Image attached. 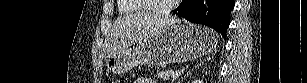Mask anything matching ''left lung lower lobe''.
<instances>
[{
	"instance_id": "obj_1",
	"label": "left lung lower lobe",
	"mask_w": 307,
	"mask_h": 83,
	"mask_svg": "<svg viewBox=\"0 0 307 83\" xmlns=\"http://www.w3.org/2000/svg\"><path fill=\"white\" fill-rule=\"evenodd\" d=\"M234 5V0H182L180 6L172 12L192 23L207 25L226 39Z\"/></svg>"
}]
</instances>
